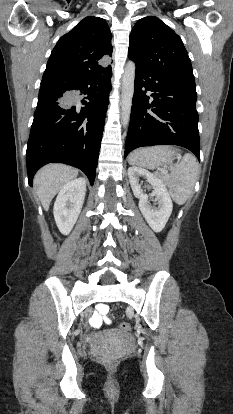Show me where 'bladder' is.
Segmentation results:
<instances>
[{
	"label": "bladder",
	"instance_id": "obj_1",
	"mask_svg": "<svg viewBox=\"0 0 233 414\" xmlns=\"http://www.w3.org/2000/svg\"><path fill=\"white\" fill-rule=\"evenodd\" d=\"M104 339H108V338H110V337H113V336H115V333L113 332V331H107V332H104V333H102V335H101Z\"/></svg>",
	"mask_w": 233,
	"mask_h": 414
}]
</instances>
